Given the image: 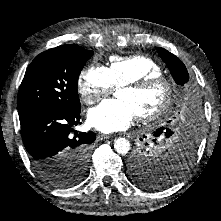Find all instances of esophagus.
I'll return each mask as SVG.
<instances>
[{
  "label": "esophagus",
  "mask_w": 221,
  "mask_h": 221,
  "mask_svg": "<svg viewBox=\"0 0 221 221\" xmlns=\"http://www.w3.org/2000/svg\"><path fill=\"white\" fill-rule=\"evenodd\" d=\"M98 137L100 138V139H109L110 138V136L109 135H105V134H100V135H98Z\"/></svg>",
  "instance_id": "34e87169"
}]
</instances>
